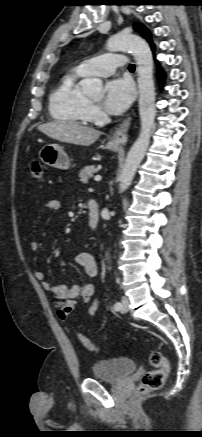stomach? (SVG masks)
<instances>
[{
    "label": "stomach",
    "mask_w": 202,
    "mask_h": 437,
    "mask_svg": "<svg viewBox=\"0 0 202 437\" xmlns=\"http://www.w3.org/2000/svg\"><path fill=\"white\" fill-rule=\"evenodd\" d=\"M106 148L112 151H117L120 148V145L109 141L106 144ZM39 157L44 164L54 168L65 170L70 166L68 155L58 144H47L43 146L39 152Z\"/></svg>",
    "instance_id": "0dacf381"
}]
</instances>
